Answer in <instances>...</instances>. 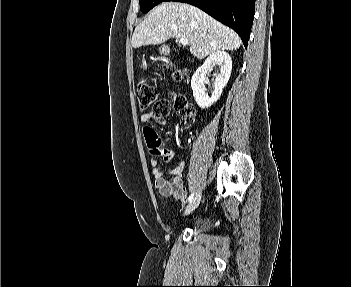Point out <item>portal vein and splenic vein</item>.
Wrapping results in <instances>:
<instances>
[{
	"label": "portal vein and splenic vein",
	"instance_id": "18ae733b",
	"mask_svg": "<svg viewBox=\"0 0 351 287\" xmlns=\"http://www.w3.org/2000/svg\"><path fill=\"white\" fill-rule=\"evenodd\" d=\"M182 45L186 46V45H189V40L186 39V38H181L180 41H179Z\"/></svg>",
	"mask_w": 351,
	"mask_h": 287
}]
</instances>
